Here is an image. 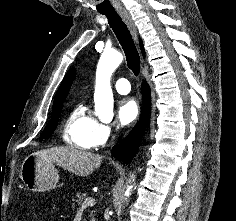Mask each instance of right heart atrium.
I'll use <instances>...</instances> for the list:
<instances>
[{
    "mask_svg": "<svg viewBox=\"0 0 236 221\" xmlns=\"http://www.w3.org/2000/svg\"><path fill=\"white\" fill-rule=\"evenodd\" d=\"M117 132L115 126L105 123L99 122L94 135V145L101 146L111 140Z\"/></svg>",
    "mask_w": 236,
    "mask_h": 221,
    "instance_id": "1",
    "label": "right heart atrium"
}]
</instances>
